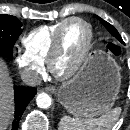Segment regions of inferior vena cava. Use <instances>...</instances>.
Wrapping results in <instances>:
<instances>
[{
	"label": "inferior vena cava",
	"instance_id": "602c4592",
	"mask_svg": "<svg viewBox=\"0 0 130 130\" xmlns=\"http://www.w3.org/2000/svg\"><path fill=\"white\" fill-rule=\"evenodd\" d=\"M21 78L23 82L29 86H37L42 81L41 76L30 68H25L21 72Z\"/></svg>",
	"mask_w": 130,
	"mask_h": 130
}]
</instances>
